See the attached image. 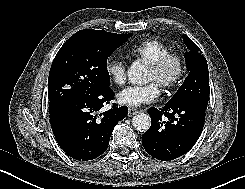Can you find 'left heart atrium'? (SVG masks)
<instances>
[{
    "label": "left heart atrium",
    "mask_w": 245,
    "mask_h": 189,
    "mask_svg": "<svg viewBox=\"0 0 245 189\" xmlns=\"http://www.w3.org/2000/svg\"><path fill=\"white\" fill-rule=\"evenodd\" d=\"M159 94V86L151 81L145 85H130L120 91L118 97L122 104L141 106L154 101Z\"/></svg>",
    "instance_id": "39dd6f15"
}]
</instances>
